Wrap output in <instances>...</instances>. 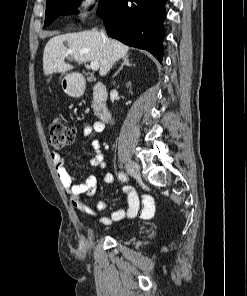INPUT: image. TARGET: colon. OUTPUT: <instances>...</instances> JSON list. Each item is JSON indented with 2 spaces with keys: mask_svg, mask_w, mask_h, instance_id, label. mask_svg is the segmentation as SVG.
<instances>
[{
  "mask_svg": "<svg viewBox=\"0 0 247 296\" xmlns=\"http://www.w3.org/2000/svg\"><path fill=\"white\" fill-rule=\"evenodd\" d=\"M49 142L54 149H62L75 141L74 130L61 119H53L48 127Z\"/></svg>",
  "mask_w": 247,
  "mask_h": 296,
  "instance_id": "colon-1",
  "label": "colon"
}]
</instances>
